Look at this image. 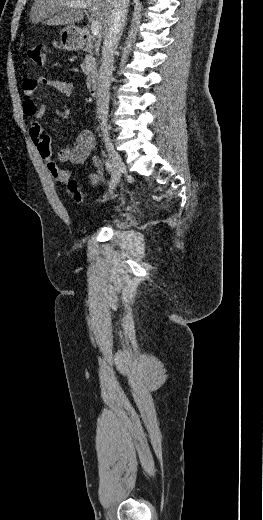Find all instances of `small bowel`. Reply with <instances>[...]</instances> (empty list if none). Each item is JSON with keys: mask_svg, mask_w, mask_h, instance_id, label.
Returning a JSON list of instances; mask_svg holds the SVG:
<instances>
[{"mask_svg": "<svg viewBox=\"0 0 263 520\" xmlns=\"http://www.w3.org/2000/svg\"><path fill=\"white\" fill-rule=\"evenodd\" d=\"M40 86L54 87L62 94L70 96L74 92V85L68 81L48 79L45 77L26 79L22 84L24 113L31 119L29 125L30 138L35 144L39 155L45 161L46 167L51 176L57 182L67 184V182L71 180V175L68 171L60 169L57 162H71L73 164L83 163L90 156L96 146L95 136L90 130L81 131L75 142L60 147L54 158L49 139L44 134L39 122L46 113V107L37 104L34 98V94ZM90 163L92 167L90 183L93 186H97L103 179V162L99 157L93 156Z\"/></svg>", "mask_w": 263, "mask_h": 520, "instance_id": "1", "label": "small bowel"}]
</instances>
